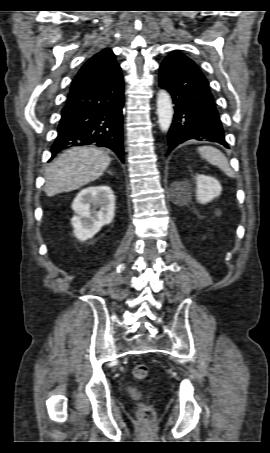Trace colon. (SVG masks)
<instances>
[{
	"label": "colon",
	"instance_id": "5ec220e1",
	"mask_svg": "<svg viewBox=\"0 0 270 453\" xmlns=\"http://www.w3.org/2000/svg\"><path fill=\"white\" fill-rule=\"evenodd\" d=\"M135 378L139 380H145L149 376V368L145 364H137L133 369ZM139 417L141 421L150 424L155 419V411L152 406L142 404L139 410Z\"/></svg>",
	"mask_w": 270,
	"mask_h": 453
}]
</instances>
